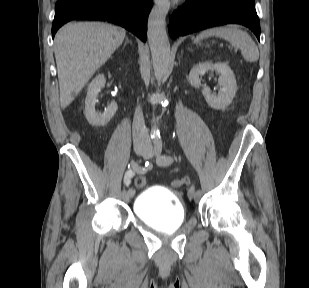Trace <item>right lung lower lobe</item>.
I'll list each match as a JSON object with an SVG mask.
<instances>
[{
    "instance_id": "obj_1",
    "label": "right lung lower lobe",
    "mask_w": 309,
    "mask_h": 288,
    "mask_svg": "<svg viewBox=\"0 0 309 288\" xmlns=\"http://www.w3.org/2000/svg\"><path fill=\"white\" fill-rule=\"evenodd\" d=\"M152 3L153 0H57L52 37L68 21L94 19L123 26L145 42Z\"/></svg>"
}]
</instances>
